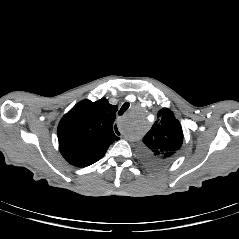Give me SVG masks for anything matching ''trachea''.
<instances>
[{
    "label": "trachea",
    "instance_id": "1",
    "mask_svg": "<svg viewBox=\"0 0 239 239\" xmlns=\"http://www.w3.org/2000/svg\"><path fill=\"white\" fill-rule=\"evenodd\" d=\"M128 108H129V103H127V102L124 103L122 105L121 109L119 110L118 115L121 116Z\"/></svg>",
    "mask_w": 239,
    "mask_h": 239
}]
</instances>
